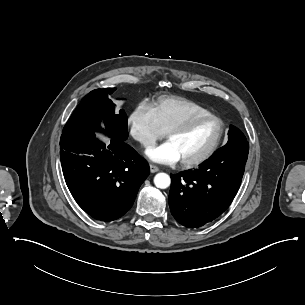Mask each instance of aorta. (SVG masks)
Here are the masks:
<instances>
[{
    "label": "aorta",
    "instance_id": "obj_1",
    "mask_svg": "<svg viewBox=\"0 0 305 305\" xmlns=\"http://www.w3.org/2000/svg\"><path fill=\"white\" fill-rule=\"evenodd\" d=\"M171 179L166 173H158L154 177V184L160 189H166L170 186Z\"/></svg>",
    "mask_w": 305,
    "mask_h": 305
}]
</instances>
